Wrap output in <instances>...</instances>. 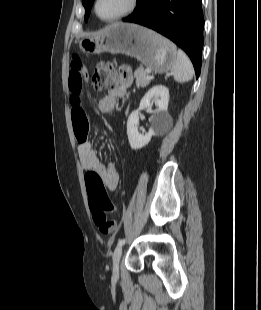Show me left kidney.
<instances>
[{
  "instance_id": "1",
  "label": "left kidney",
  "mask_w": 261,
  "mask_h": 310,
  "mask_svg": "<svg viewBox=\"0 0 261 310\" xmlns=\"http://www.w3.org/2000/svg\"><path fill=\"white\" fill-rule=\"evenodd\" d=\"M154 102L157 106V111L153 117L151 128L148 133L141 134L138 130L139 113L141 110L150 107ZM169 90L164 85H155L142 98L139 108L133 111L127 121V135L129 144L132 149H141L147 145L152 136L165 132L172 121L168 113Z\"/></svg>"
}]
</instances>
